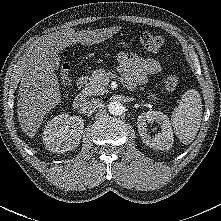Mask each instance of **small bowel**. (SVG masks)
<instances>
[{
	"label": "small bowel",
	"instance_id": "small-bowel-1",
	"mask_svg": "<svg viewBox=\"0 0 221 221\" xmlns=\"http://www.w3.org/2000/svg\"><path fill=\"white\" fill-rule=\"evenodd\" d=\"M119 70L127 88L133 89L147 83V76L159 74L162 63L154 58H142L134 53H121L118 56Z\"/></svg>",
	"mask_w": 221,
	"mask_h": 221
}]
</instances>
